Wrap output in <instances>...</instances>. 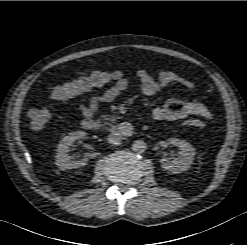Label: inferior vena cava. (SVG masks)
I'll return each instance as SVG.
<instances>
[{
    "label": "inferior vena cava",
    "instance_id": "1",
    "mask_svg": "<svg viewBox=\"0 0 247 245\" xmlns=\"http://www.w3.org/2000/svg\"><path fill=\"white\" fill-rule=\"evenodd\" d=\"M108 142L111 144V145H114V146H118L121 144V140L118 136H115V135H109L108 137Z\"/></svg>",
    "mask_w": 247,
    "mask_h": 245
}]
</instances>
